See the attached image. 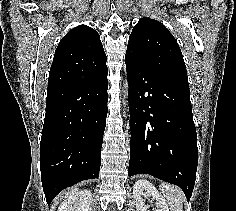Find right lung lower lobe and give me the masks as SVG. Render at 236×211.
Masks as SVG:
<instances>
[{"mask_svg": "<svg viewBox=\"0 0 236 211\" xmlns=\"http://www.w3.org/2000/svg\"><path fill=\"white\" fill-rule=\"evenodd\" d=\"M107 71L89 81L47 91L40 170L48 204L63 189L99 177L108 111Z\"/></svg>", "mask_w": 236, "mask_h": 211, "instance_id": "1", "label": "right lung lower lobe"}]
</instances>
